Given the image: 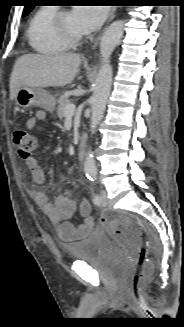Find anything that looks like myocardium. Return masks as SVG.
Masks as SVG:
<instances>
[{
    "mask_svg": "<svg viewBox=\"0 0 184 327\" xmlns=\"http://www.w3.org/2000/svg\"><path fill=\"white\" fill-rule=\"evenodd\" d=\"M69 12L70 11L66 10V9L57 11L53 17L52 24H53V28L56 31V33L65 42H67L69 45L73 46V45H77V44L81 43L85 39V36L84 35H74L66 29L65 24H64V18L66 16V14H68Z\"/></svg>",
    "mask_w": 184,
    "mask_h": 327,
    "instance_id": "obj_1",
    "label": "myocardium"
}]
</instances>
